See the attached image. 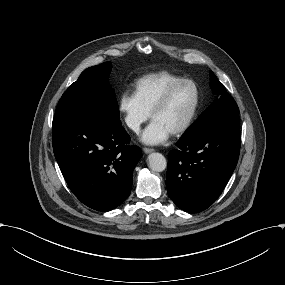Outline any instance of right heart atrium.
<instances>
[{
    "label": "right heart atrium",
    "instance_id": "1",
    "mask_svg": "<svg viewBox=\"0 0 285 285\" xmlns=\"http://www.w3.org/2000/svg\"><path fill=\"white\" fill-rule=\"evenodd\" d=\"M119 111L126 125L134 131H139L150 117V111L141 103L133 88L126 90L120 96Z\"/></svg>",
    "mask_w": 285,
    "mask_h": 285
}]
</instances>
